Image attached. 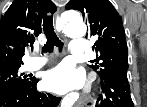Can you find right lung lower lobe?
<instances>
[{
  "mask_svg": "<svg viewBox=\"0 0 147 107\" xmlns=\"http://www.w3.org/2000/svg\"><path fill=\"white\" fill-rule=\"evenodd\" d=\"M33 79L29 85L0 94V107H56L61 98L38 92Z\"/></svg>",
  "mask_w": 147,
  "mask_h": 107,
  "instance_id": "98d812e1",
  "label": "right lung lower lobe"
}]
</instances>
